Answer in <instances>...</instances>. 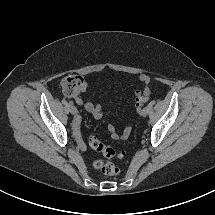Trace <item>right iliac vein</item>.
Segmentation results:
<instances>
[{"label":"right iliac vein","instance_id":"63e3f726","mask_svg":"<svg viewBox=\"0 0 215 215\" xmlns=\"http://www.w3.org/2000/svg\"><path fill=\"white\" fill-rule=\"evenodd\" d=\"M70 112H71L72 115H77L78 110H77V108L75 106H71L70 107Z\"/></svg>","mask_w":215,"mask_h":215}]
</instances>
